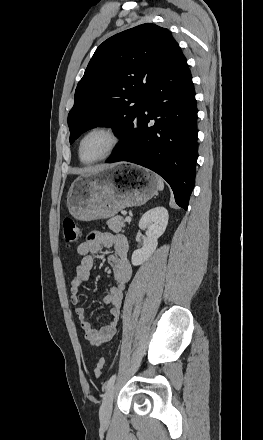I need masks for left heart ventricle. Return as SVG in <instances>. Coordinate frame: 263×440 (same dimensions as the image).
<instances>
[{"label":"left heart ventricle","mask_w":263,"mask_h":440,"mask_svg":"<svg viewBox=\"0 0 263 440\" xmlns=\"http://www.w3.org/2000/svg\"><path fill=\"white\" fill-rule=\"evenodd\" d=\"M110 138L104 132H94L85 138L81 147V155L84 160L96 159L108 150Z\"/></svg>","instance_id":"1"}]
</instances>
